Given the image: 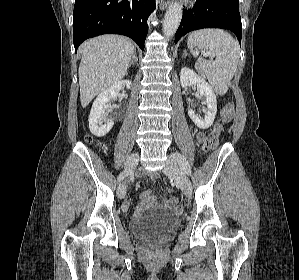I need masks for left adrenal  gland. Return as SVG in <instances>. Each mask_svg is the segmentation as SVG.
I'll return each mask as SVG.
<instances>
[{
    "instance_id": "left-adrenal-gland-1",
    "label": "left adrenal gland",
    "mask_w": 299,
    "mask_h": 280,
    "mask_svg": "<svg viewBox=\"0 0 299 280\" xmlns=\"http://www.w3.org/2000/svg\"><path fill=\"white\" fill-rule=\"evenodd\" d=\"M187 51L186 50H184V54H183V58L185 59L186 57H187Z\"/></svg>"
}]
</instances>
